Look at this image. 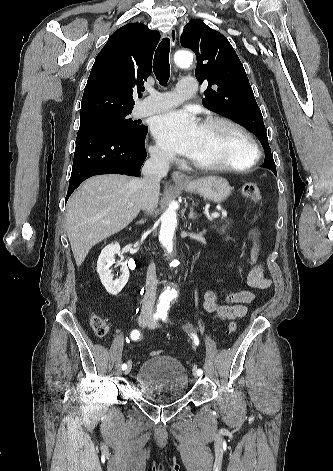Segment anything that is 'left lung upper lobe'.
Wrapping results in <instances>:
<instances>
[{"label":"left lung upper lobe","instance_id":"5c2ea615","mask_svg":"<svg viewBox=\"0 0 333 471\" xmlns=\"http://www.w3.org/2000/svg\"><path fill=\"white\" fill-rule=\"evenodd\" d=\"M181 45L196 54L195 75L199 83L208 82L203 104L253 132L265 151L262 167L277 175L260 108L244 67L229 41L203 21L194 19L184 27Z\"/></svg>","mask_w":333,"mask_h":471}]
</instances>
